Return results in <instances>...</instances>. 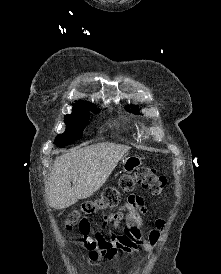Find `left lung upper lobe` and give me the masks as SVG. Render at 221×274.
I'll return each mask as SVG.
<instances>
[{"mask_svg": "<svg viewBox=\"0 0 221 274\" xmlns=\"http://www.w3.org/2000/svg\"><path fill=\"white\" fill-rule=\"evenodd\" d=\"M126 109H127L128 111H130L129 106L126 107ZM133 112H134V113H138V111H137L135 108H133Z\"/></svg>", "mask_w": 221, "mask_h": 274, "instance_id": "obj_1", "label": "left lung upper lobe"}]
</instances>
